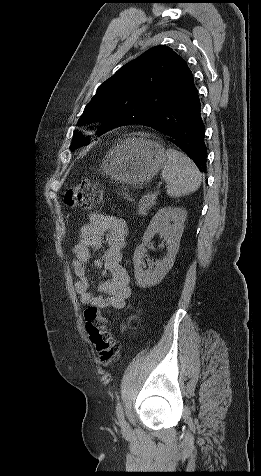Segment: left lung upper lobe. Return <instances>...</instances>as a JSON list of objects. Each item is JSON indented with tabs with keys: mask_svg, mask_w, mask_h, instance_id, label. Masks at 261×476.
<instances>
[{
	"mask_svg": "<svg viewBox=\"0 0 261 476\" xmlns=\"http://www.w3.org/2000/svg\"><path fill=\"white\" fill-rule=\"evenodd\" d=\"M193 80L181 56L167 46H155L103 82L78 123L100 121L97 136L127 124H141L178 100ZM88 144V137L75 131L70 149Z\"/></svg>",
	"mask_w": 261,
	"mask_h": 476,
	"instance_id": "obj_1",
	"label": "left lung upper lobe"
}]
</instances>
